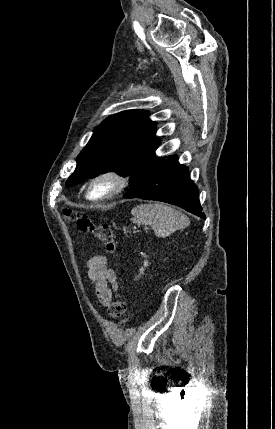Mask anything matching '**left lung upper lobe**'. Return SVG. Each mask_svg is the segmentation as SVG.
Instances as JSON below:
<instances>
[{"label": "left lung upper lobe", "mask_w": 275, "mask_h": 429, "mask_svg": "<svg viewBox=\"0 0 275 429\" xmlns=\"http://www.w3.org/2000/svg\"><path fill=\"white\" fill-rule=\"evenodd\" d=\"M144 110H128L106 118L77 157L66 186L116 171L129 176V187L155 159L158 140L155 124Z\"/></svg>", "instance_id": "5c2ea615"}]
</instances>
